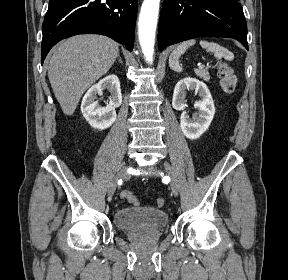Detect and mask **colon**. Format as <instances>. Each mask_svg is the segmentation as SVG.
<instances>
[{
  "label": "colon",
  "instance_id": "colon-1",
  "mask_svg": "<svg viewBox=\"0 0 288 280\" xmlns=\"http://www.w3.org/2000/svg\"><path fill=\"white\" fill-rule=\"evenodd\" d=\"M216 72L220 79V87L222 91L226 94H232L235 91L237 84V78L232 66L225 61H219L216 64ZM122 197L133 205H139L138 198L129 191H124ZM164 204V199L158 198L156 200V205L159 208H162Z\"/></svg>",
  "mask_w": 288,
  "mask_h": 280
}]
</instances>
